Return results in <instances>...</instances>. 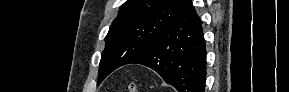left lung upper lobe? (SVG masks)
<instances>
[{"instance_id": "5c2ea615", "label": "left lung upper lobe", "mask_w": 289, "mask_h": 92, "mask_svg": "<svg viewBox=\"0 0 289 92\" xmlns=\"http://www.w3.org/2000/svg\"><path fill=\"white\" fill-rule=\"evenodd\" d=\"M190 3L191 0H127L105 37L99 83L146 50L165 28L184 13Z\"/></svg>"}]
</instances>
